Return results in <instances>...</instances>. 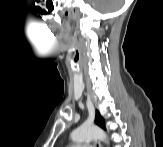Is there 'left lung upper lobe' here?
Listing matches in <instances>:
<instances>
[{
    "label": "left lung upper lobe",
    "instance_id": "1",
    "mask_svg": "<svg viewBox=\"0 0 163 147\" xmlns=\"http://www.w3.org/2000/svg\"><path fill=\"white\" fill-rule=\"evenodd\" d=\"M96 124H98L100 127L105 129V121L104 119L101 117L100 113L97 111L96 113V120H95Z\"/></svg>",
    "mask_w": 163,
    "mask_h": 147
}]
</instances>
